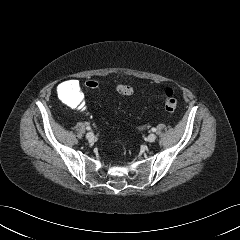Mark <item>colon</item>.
<instances>
[{"mask_svg":"<svg viewBox=\"0 0 240 240\" xmlns=\"http://www.w3.org/2000/svg\"><path fill=\"white\" fill-rule=\"evenodd\" d=\"M68 87V84L64 85L65 87ZM85 86L89 90H96L99 87V84L94 79H89L85 82ZM117 91L119 94L124 96H130L133 94V88L126 84H121L117 86ZM165 95V108L167 111H174L177 108L178 102L177 99L174 96L173 90L170 88L165 89L164 91Z\"/></svg>","mask_w":240,"mask_h":240,"instance_id":"obj_1","label":"colon"}]
</instances>
